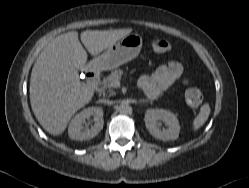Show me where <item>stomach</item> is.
<instances>
[{
  "mask_svg": "<svg viewBox=\"0 0 249 188\" xmlns=\"http://www.w3.org/2000/svg\"><path fill=\"white\" fill-rule=\"evenodd\" d=\"M142 48V37L129 34L107 48L104 53L95 57L90 66L97 71L112 70L136 58Z\"/></svg>",
  "mask_w": 249,
  "mask_h": 188,
  "instance_id": "0dacf381",
  "label": "stomach"
}]
</instances>
